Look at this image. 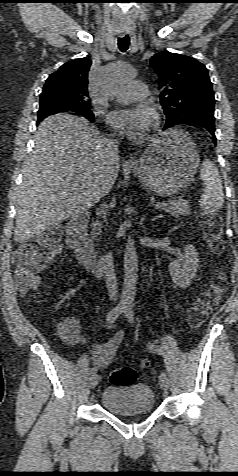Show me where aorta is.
Instances as JSON below:
<instances>
[{"instance_id": "1", "label": "aorta", "mask_w": 238, "mask_h": 476, "mask_svg": "<svg viewBox=\"0 0 238 476\" xmlns=\"http://www.w3.org/2000/svg\"><path fill=\"white\" fill-rule=\"evenodd\" d=\"M135 74L133 68L127 65L112 67L107 75V92L114 94L117 87L129 81ZM138 272V258L135 243L132 237H129L125 247L124 254V284L120 303L123 306L130 307L135 297V289Z\"/></svg>"}]
</instances>
